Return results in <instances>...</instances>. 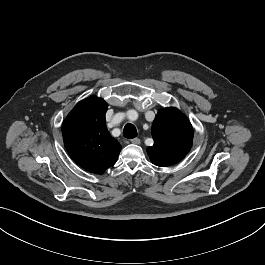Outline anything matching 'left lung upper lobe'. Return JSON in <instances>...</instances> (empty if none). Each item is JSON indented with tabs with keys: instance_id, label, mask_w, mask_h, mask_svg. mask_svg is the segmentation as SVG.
I'll return each instance as SVG.
<instances>
[{
	"instance_id": "left-lung-upper-lobe-1",
	"label": "left lung upper lobe",
	"mask_w": 265,
	"mask_h": 265,
	"mask_svg": "<svg viewBox=\"0 0 265 265\" xmlns=\"http://www.w3.org/2000/svg\"><path fill=\"white\" fill-rule=\"evenodd\" d=\"M154 144L147 148L153 164L166 167L181 161L192 147L193 128L178 109L164 108L152 125Z\"/></svg>"
}]
</instances>
